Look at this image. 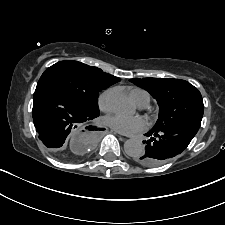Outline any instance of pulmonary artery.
Here are the masks:
<instances>
[{
  "label": "pulmonary artery",
  "instance_id": "1",
  "mask_svg": "<svg viewBox=\"0 0 225 225\" xmlns=\"http://www.w3.org/2000/svg\"><path fill=\"white\" fill-rule=\"evenodd\" d=\"M138 105H139L140 107H145V106H146V103L140 102V103H138Z\"/></svg>",
  "mask_w": 225,
  "mask_h": 225
}]
</instances>
